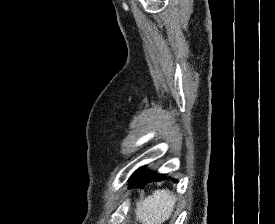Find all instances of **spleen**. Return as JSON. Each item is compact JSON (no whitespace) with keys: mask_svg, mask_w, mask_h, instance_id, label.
I'll list each match as a JSON object with an SVG mask.
<instances>
[{"mask_svg":"<svg viewBox=\"0 0 275 224\" xmlns=\"http://www.w3.org/2000/svg\"><path fill=\"white\" fill-rule=\"evenodd\" d=\"M175 202V196L168 189L155 190L137 202L136 218L142 224H162L171 217Z\"/></svg>","mask_w":275,"mask_h":224,"instance_id":"spleen-1","label":"spleen"}]
</instances>
